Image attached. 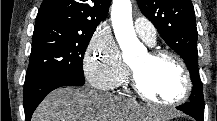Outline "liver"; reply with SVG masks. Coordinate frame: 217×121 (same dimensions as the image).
<instances>
[{
    "label": "liver",
    "mask_w": 217,
    "mask_h": 121,
    "mask_svg": "<svg viewBox=\"0 0 217 121\" xmlns=\"http://www.w3.org/2000/svg\"><path fill=\"white\" fill-rule=\"evenodd\" d=\"M151 110L131 99L99 94L88 89L61 87L37 107L32 121H152Z\"/></svg>",
    "instance_id": "obj_1"
}]
</instances>
